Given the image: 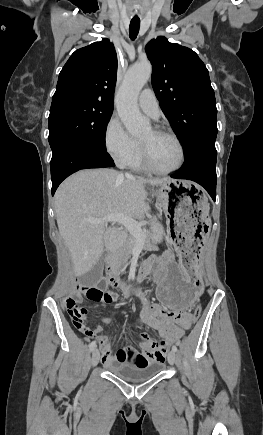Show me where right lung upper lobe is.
<instances>
[{
    "instance_id": "1",
    "label": "right lung upper lobe",
    "mask_w": 263,
    "mask_h": 435,
    "mask_svg": "<svg viewBox=\"0 0 263 435\" xmlns=\"http://www.w3.org/2000/svg\"><path fill=\"white\" fill-rule=\"evenodd\" d=\"M117 54L109 39L76 50L58 78L51 106L68 102L114 105Z\"/></svg>"
}]
</instances>
